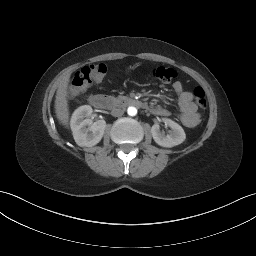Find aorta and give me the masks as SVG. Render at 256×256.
I'll use <instances>...</instances> for the list:
<instances>
[{"label":"aorta","instance_id":"aorta-1","mask_svg":"<svg viewBox=\"0 0 256 256\" xmlns=\"http://www.w3.org/2000/svg\"><path fill=\"white\" fill-rule=\"evenodd\" d=\"M127 113L130 116H135L137 114V109L133 106L128 107Z\"/></svg>","mask_w":256,"mask_h":256}]
</instances>
